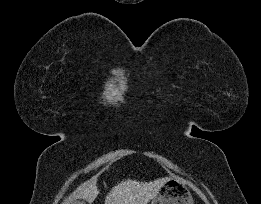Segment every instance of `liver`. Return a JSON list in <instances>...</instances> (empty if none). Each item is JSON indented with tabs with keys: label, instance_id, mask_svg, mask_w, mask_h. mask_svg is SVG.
<instances>
[{
	"label": "liver",
	"instance_id": "liver-1",
	"mask_svg": "<svg viewBox=\"0 0 261 204\" xmlns=\"http://www.w3.org/2000/svg\"><path fill=\"white\" fill-rule=\"evenodd\" d=\"M169 178H159L153 182H139L136 180H123L115 185L105 198V204H148L158 193ZM97 180H92L78 188L73 200L84 199L93 202L99 194Z\"/></svg>",
	"mask_w": 261,
	"mask_h": 204
}]
</instances>
